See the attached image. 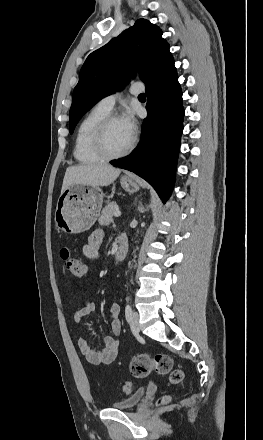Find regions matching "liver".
Here are the masks:
<instances>
[{
  "label": "liver",
  "mask_w": 263,
  "mask_h": 440,
  "mask_svg": "<svg viewBox=\"0 0 263 440\" xmlns=\"http://www.w3.org/2000/svg\"><path fill=\"white\" fill-rule=\"evenodd\" d=\"M121 170L106 163L71 166L66 169L61 192L73 184L103 187L113 183Z\"/></svg>",
  "instance_id": "1"
}]
</instances>
